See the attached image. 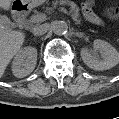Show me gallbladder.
Masks as SVG:
<instances>
[{
	"mask_svg": "<svg viewBox=\"0 0 119 119\" xmlns=\"http://www.w3.org/2000/svg\"><path fill=\"white\" fill-rule=\"evenodd\" d=\"M0 25L7 29L11 27L12 22L6 16L0 15Z\"/></svg>",
	"mask_w": 119,
	"mask_h": 119,
	"instance_id": "gallbladder-1",
	"label": "gallbladder"
}]
</instances>
